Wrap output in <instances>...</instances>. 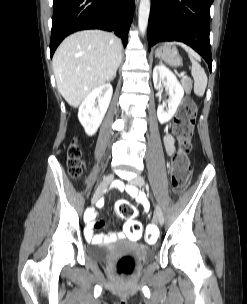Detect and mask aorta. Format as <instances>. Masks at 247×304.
Listing matches in <instances>:
<instances>
[{
    "label": "aorta",
    "instance_id": "1",
    "mask_svg": "<svg viewBox=\"0 0 247 304\" xmlns=\"http://www.w3.org/2000/svg\"><path fill=\"white\" fill-rule=\"evenodd\" d=\"M150 14V0H141L138 14V27L142 36H144Z\"/></svg>",
    "mask_w": 247,
    "mask_h": 304
}]
</instances>
